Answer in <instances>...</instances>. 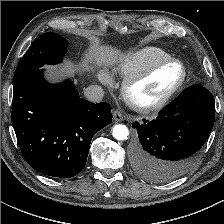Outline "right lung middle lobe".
Returning <instances> with one entry per match:
<instances>
[{
    "mask_svg": "<svg viewBox=\"0 0 224 224\" xmlns=\"http://www.w3.org/2000/svg\"><path fill=\"white\" fill-rule=\"evenodd\" d=\"M67 45L68 41L57 33L48 32L39 36L20 60L14 74V85L24 75L45 64L62 62Z\"/></svg>",
    "mask_w": 224,
    "mask_h": 224,
    "instance_id": "right-lung-middle-lobe-1",
    "label": "right lung middle lobe"
}]
</instances>
